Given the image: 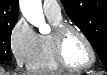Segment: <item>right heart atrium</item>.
Wrapping results in <instances>:
<instances>
[{
    "label": "right heart atrium",
    "mask_w": 107,
    "mask_h": 75,
    "mask_svg": "<svg viewBox=\"0 0 107 75\" xmlns=\"http://www.w3.org/2000/svg\"><path fill=\"white\" fill-rule=\"evenodd\" d=\"M37 34L29 23L20 18L13 26L9 46L11 53L19 67L28 65L36 45Z\"/></svg>",
    "instance_id": "obj_1"
}]
</instances>
